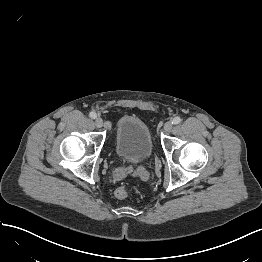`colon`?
<instances>
[{"label": "colon", "instance_id": "colon-1", "mask_svg": "<svg viewBox=\"0 0 262 262\" xmlns=\"http://www.w3.org/2000/svg\"><path fill=\"white\" fill-rule=\"evenodd\" d=\"M129 195V190L126 185H120L119 187L116 188L115 190V196L118 199H126Z\"/></svg>", "mask_w": 262, "mask_h": 262}]
</instances>
